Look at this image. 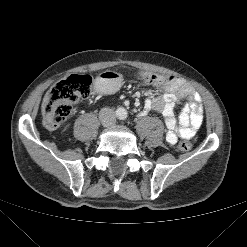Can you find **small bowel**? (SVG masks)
Returning a JSON list of instances; mask_svg holds the SVG:
<instances>
[{"mask_svg":"<svg viewBox=\"0 0 247 247\" xmlns=\"http://www.w3.org/2000/svg\"><path fill=\"white\" fill-rule=\"evenodd\" d=\"M188 97L178 116L175 107L180 98ZM201 99L197 92L184 80L176 78L166 86L163 95L148 97L144 101L142 114L154 110L160 112L167 128L166 140L177 143L179 138L190 139L200 128L203 120Z\"/></svg>","mask_w":247,"mask_h":247,"instance_id":"c3829d8e","label":"small bowel"}]
</instances>
